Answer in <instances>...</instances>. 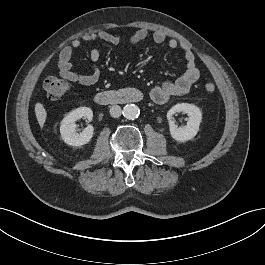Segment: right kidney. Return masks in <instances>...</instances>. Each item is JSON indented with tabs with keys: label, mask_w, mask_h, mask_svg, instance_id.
Listing matches in <instances>:
<instances>
[{
	"label": "right kidney",
	"mask_w": 265,
	"mask_h": 265,
	"mask_svg": "<svg viewBox=\"0 0 265 265\" xmlns=\"http://www.w3.org/2000/svg\"><path fill=\"white\" fill-rule=\"evenodd\" d=\"M85 117L89 121L92 120L93 112L88 107H79L69 112L61 121L60 133L63 141L71 146H82L90 142L93 137V127L87 126L81 133L76 132L75 122Z\"/></svg>",
	"instance_id": "ca27d5eb"
}]
</instances>
